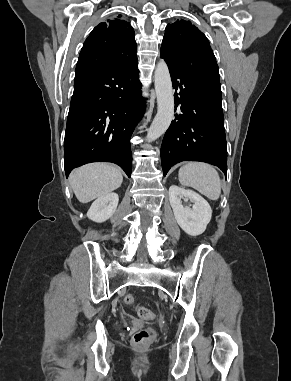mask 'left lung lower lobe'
<instances>
[{
  "label": "left lung lower lobe",
  "instance_id": "obj_1",
  "mask_svg": "<svg viewBox=\"0 0 291 381\" xmlns=\"http://www.w3.org/2000/svg\"><path fill=\"white\" fill-rule=\"evenodd\" d=\"M175 110L161 145L164 176L181 161H202L218 166L227 175V142L221 85L195 80L168 64Z\"/></svg>",
  "mask_w": 291,
  "mask_h": 381
}]
</instances>
